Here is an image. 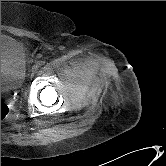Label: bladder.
I'll list each match as a JSON object with an SVG mask.
<instances>
[{
	"mask_svg": "<svg viewBox=\"0 0 166 166\" xmlns=\"http://www.w3.org/2000/svg\"><path fill=\"white\" fill-rule=\"evenodd\" d=\"M26 63L21 44L1 35V91L17 90L25 80Z\"/></svg>",
	"mask_w": 166,
	"mask_h": 166,
	"instance_id": "bladder-1",
	"label": "bladder"
}]
</instances>
